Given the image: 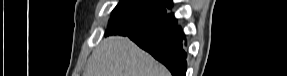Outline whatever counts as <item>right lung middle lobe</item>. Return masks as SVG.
Segmentation results:
<instances>
[{"mask_svg":"<svg viewBox=\"0 0 287 76\" xmlns=\"http://www.w3.org/2000/svg\"><path fill=\"white\" fill-rule=\"evenodd\" d=\"M171 1L121 0L112 12L105 35H128L147 30L161 20Z\"/></svg>","mask_w":287,"mask_h":76,"instance_id":"obj_1","label":"right lung middle lobe"}]
</instances>
